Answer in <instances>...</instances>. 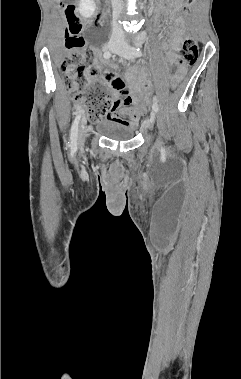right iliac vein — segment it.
<instances>
[{"mask_svg":"<svg viewBox=\"0 0 241 379\" xmlns=\"http://www.w3.org/2000/svg\"><path fill=\"white\" fill-rule=\"evenodd\" d=\"M108 49L113 51V52H116L119 49V44L118 43H110L108 45ZM88 131H89V129L87 127H84L83 125L81 126V128L79 130V135H78V141L80 144H82L85 141V138L88 135Z\"/></svg>","mask_w":241,"mask_h":379,"instance_id":"right-iliac-vein-1","label":"right iliac vein"}]
</instances>
